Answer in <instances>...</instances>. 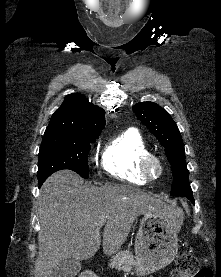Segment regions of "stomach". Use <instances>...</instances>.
Returning <instances> with one entry per match:
<instances>
[{
  "instance_id": "0dacf381",
  "label": "stomach",
  "mask_w": 221,
  "mask_h": 277,
  "mask_svg": "<svg viewBox=\"0 0 221 277\" xmlns=\"http://www.w3.org/2000/svg\"><path fill=\"white\" fill-rule=\"evenodd\" d=\"M170 211L144 214L135 240V272L138 275L154 273L175 258L178 251L177 234L183 222V213L171 206Z\"/></svg>"
}]
</instances>
